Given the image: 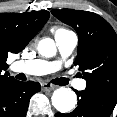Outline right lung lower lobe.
<instances>
[{"label": "right lung lower lobe", "mask_w": 117, "mask_h": 117, "mask_svg": "<svg viewBox=\"0 0 117 117\" xmlns=\"http://www.w3.org/2000/svg\"><path fill=\"white\" fill-rule=\"evenodd\" d=\"M40 91V84L15 79L0 86V117H26L29 100Z\"/></svg>", "instance_id": "98d812e1"}]
</instances>
